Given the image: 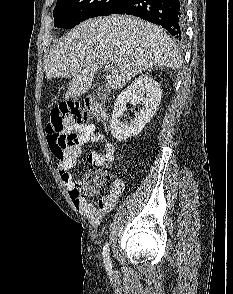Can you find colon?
Segmentation results:
<instances>
[{
	"label": "colon",
	"mask_w": 233,
	"mask_h": 294,
	"mask_svg": "<svg viewBox=\"0 0 233 294\" xmlns=\"http://www.w3.org/2000/svg\"><path fill=\"white\" fill-rule=\"evenodd\" d=\"M88 119V113L79 103H63L52 110L46 126L47 141L51 152L59 161L64 159L74 142L72 127L86 124ZM103 183V173L89 171L77 181L76 193L82 197L95 195L102 189Z\"/></svg>",
	"instance_id": "1"
}]
</instances>
